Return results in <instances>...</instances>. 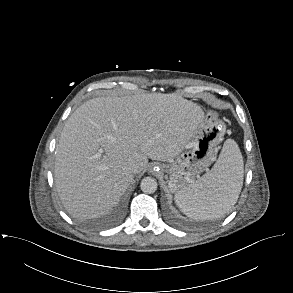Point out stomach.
<instances>
[{
	"instance_id": "1",
	"label": "stomach",
	"mask_w": 293,
	"mask_h": 293,
	"mask_svg": "<svg viewBox=\"0 0 293 293\" xmlns=\"http://www.w3.org/2000/svg\"><path fill=\"white\" fill-rule=\"evenodd\" d=\"M224 133L225 125L218 119L217 113L207 111L183 150L167 165L161 166L169 174L168 187L171 192H178L200 179V174L215 160L217 145Z\"/></svg>"
}]
</instances>
